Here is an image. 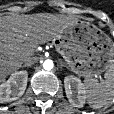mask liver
I'll return each mask as SVG.
<instances>
[{
  "label": "liver",
  "instance_id": "liver-1",
  "mask_svg": "<svg viewBox=\"0 0 114 114\" xmlns=\"http://www.w3.org/2000/svg\"><path fill=\"white\" fill-rule=\"evenodd\" d=\"M78 21L76 16L51 13L0 17V83L32 58L39 44L58 39Z\"/></svg>",
  "mask_w": 114,
  "mask_h": 114
}]
</instances>
